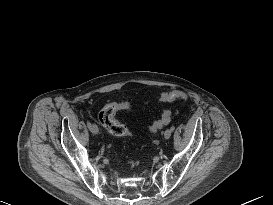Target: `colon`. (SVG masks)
I'll return each mask as SVG.
<instances>
[{"mask_svg":"<svg viewBox=\"0 0 273 205\" xmlns=\"http://www.w3.org/2000/svg\"><path fill=\"white\" fill-rule=\"evenodd\" d=\"M186 99L187 95L181 91H170L163 93L160 96L161 102H173ZM125 107L126 105L123 103H111L106 105L98 115V120L101 125L114 136L122 137L131 135V131L115 118L116 113ZM170 120L171 111L165 109L163 110L161 117L149 125L148 130L150 132H157L158 130L168 125Z\"/></svg>","mask_w":273,"mask_h":205,"instance_id":"colon-1","label":"colon"}]
</instances>
